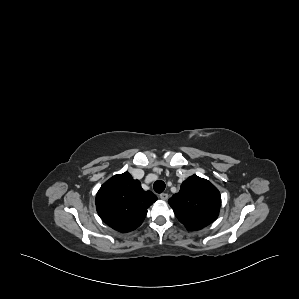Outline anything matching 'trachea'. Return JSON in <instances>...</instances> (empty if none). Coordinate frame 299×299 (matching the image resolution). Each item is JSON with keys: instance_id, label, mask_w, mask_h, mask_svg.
<instances>
[{"instance_id": "trachea-1", "label": "trachea", "mask_w": 299, "mask_h": 299, "mask_svg": "<svg viewBox=\"0 0 299 299\" xmlns=\"http://www.w3.org/2000/svg\"><path fill=\"white\" fill-rule=\"evenodd\" d=\"M165 187V183L162 180L156 181L153 185L156 193H162L165 190Z\"/></svg>"}]
</instances>
